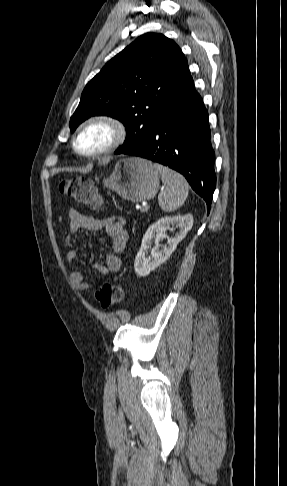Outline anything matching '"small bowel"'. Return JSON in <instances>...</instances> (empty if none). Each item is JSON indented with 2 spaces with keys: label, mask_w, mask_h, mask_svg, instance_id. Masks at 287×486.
Segmentation results:
<instances>
[{
  "label": "small bowel",
  "mask_w": 287,
  "mask_h": 486,
  "mask_svg": "<svg viewBox=\"0 0 287 486\" xmlns=\"http://www.w3.org/2000/svg\"><path fill=\"white\" fill-rule=\"evenodd\" d=\"M69 234L67 235L64 245L66 250V259L71 268L69 279L71 284L79 291H86L98 284L95 279H85L83 274L75 267L77 259V250L74 247V235L80 230L86 231H103L106 239L110 241L111 252L107 254L104 263H95L94 269L100 275H107L116 272L121 268V259L119 257L125 250L128 233L125 229L124 220L118 217H109L97 219L90 215L82 214L74 209L68 212Z\"/></svg>",
  "instance_id": "c3829d8e"
}]
</instances>
